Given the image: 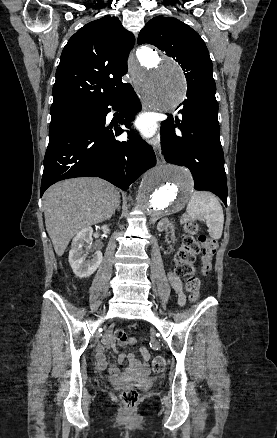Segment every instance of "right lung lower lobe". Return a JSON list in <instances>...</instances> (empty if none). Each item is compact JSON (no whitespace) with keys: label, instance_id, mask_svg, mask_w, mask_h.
Masks as SVG:
<instances>
[{"label":"right lung lower lobe","instance_id":"1","mask_svg":"<svg viewBox=\"0 0 277 438\" xmlns=\"http://www.w3.org/2000/svg\"><path fill=\"white\" fill-rule=\"evenodd\" d=\"M109 105L121 110L120 124H127L141 109L134 89L127 83L122 91L98 102L92 113L49 136L41 196L57 181L82 176L100 177L127 190L142 173L155 166L152 147L135 132H128L126 141L115 139L123 130L117 122L115 126L105 125Z\"/></svg>","mask_w":277,"mask_h":438}]
</instances>
